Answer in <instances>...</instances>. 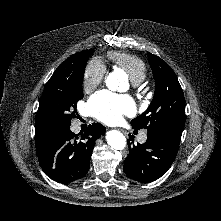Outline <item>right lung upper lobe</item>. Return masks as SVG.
<instances>
[{"instance_id": "cb5924a9", "label": "right lung upper lobe", "mask_w": 221, "mask_h": 221, "mask_svg": "<svg viewBox=\"0 0 221 221\" xmlns=\"http://www.w3.org/2000/svg\"><path fill=\"white\" fill-rule=\"evenodd\" d=\"M90 51L91 50H84V51L78 52L70 56L55 70V72L53 73L49 81H52L57 78L73 73V71L76 69L79 62L82 60V58L85 56H88ZM46 136H47V133L40 130L38 126H36L35 124L36 152L39 151L43 147Z\"/></svg>"}]
</instances>
